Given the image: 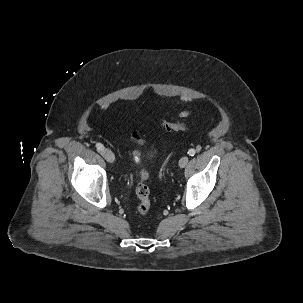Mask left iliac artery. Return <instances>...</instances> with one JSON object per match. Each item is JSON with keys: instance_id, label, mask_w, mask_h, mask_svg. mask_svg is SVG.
I'll return each instance as SVG.
<instances>
[{"instance_id": "44dca946", "label": "left iliac artery", "mask_w": 303, "mask_h": 303, "mask_svg": "<svg viewBox=\"0 0 303 303\" xmlns=\"http://www.w3.org/2000/svg\"><path fill=\"white\" fill-rule=\"evenodd\" d=\"M195 153H196L195 149H190V150L188 151V155H189V156H194Z\"/></svg>"}]
</instances>
